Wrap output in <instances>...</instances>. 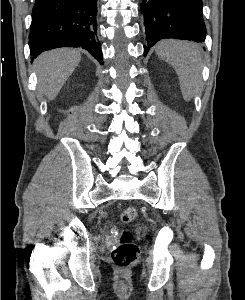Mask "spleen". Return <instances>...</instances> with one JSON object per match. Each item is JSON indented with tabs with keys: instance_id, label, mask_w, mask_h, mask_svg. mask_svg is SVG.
Instances as JSON below:
<instances>
[{
	"instance_id": "spleen-1",
	"label": "spleen",
	"mask_w": 245,
	"mask_h": 300,
	"mask_svg": "<svg viewBox=\"0 0 245 300\" xmlns=\"http://www.w3.org/2000/svg\"><path fill=\"white\" fill-rule=\"evenodd\" d=\"M155 51L175 69L183 98L189 101L201 79L202 52L199 47L187 41L163 40Z\"/></svg>"
}]
</instances>
